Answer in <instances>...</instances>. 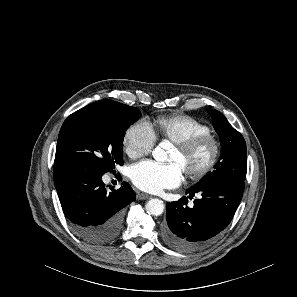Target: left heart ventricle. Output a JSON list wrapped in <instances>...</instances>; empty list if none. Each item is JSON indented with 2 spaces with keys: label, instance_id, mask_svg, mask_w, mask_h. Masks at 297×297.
<instances>
[{
  "label": "left heart ventricle",
  "instance_id": "left-heart-ventricle-1",
  "mask_svg": "<svg viewBox=\"0 0 297 297\" xmlns=\"http://www.w3.org/2000/svg\"><path fill=\"white\" fill-rule=\"evenodd\" d=\"M211 153L212 147L210 144L201 146L188 156L182 155V153L175 148L170 157V162L179 163L183 167L184 171L187 169L198 170L207 163Z\"/></svg>",
  "mask_w": 297,
  "mask_h": 297
}]
</instances>
